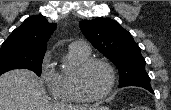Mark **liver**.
<instances>
[{"label":"liver","mask_w":171,"mask_h":110,"mask_svg":"<svg viewBox=\"0 0 171 110\" xmlns=\"http://www.w3.org/2000/svg\"><path fill=\"white\" fill-rule=\"evenodd\" d=\"M0 110H89L85 107L52 104L45 96L42 82L27 69L0 76Z\"/></svg>","instance_id":"liver-1"}]
</instances>
